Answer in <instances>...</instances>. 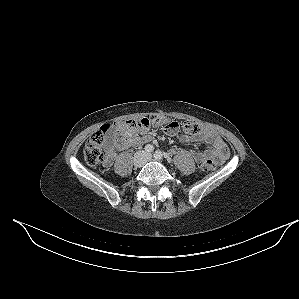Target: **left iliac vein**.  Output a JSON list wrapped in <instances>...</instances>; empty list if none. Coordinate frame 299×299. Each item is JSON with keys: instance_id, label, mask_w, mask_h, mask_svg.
I'll return each instance as SVG.
<instances>
[{"instance_id": "1", "label": "left iliac vein", "mask_w": 299, "mask_h": 299, "mask_svg": "<svg viewBox=\"0 0 299 299\" xmlns=\"http://www.w3.org/2000/svg\"><path fill=\"white\" fill-rule=\"evenodd\" d=\"M147 160H148V161L152 160V156H151V155H148V156H147Z\"/></svg>"}]
</instances>
